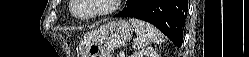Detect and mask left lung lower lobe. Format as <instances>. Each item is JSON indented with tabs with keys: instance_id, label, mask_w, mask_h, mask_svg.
<instances>
[{
	"instance_id": "left-lung-lower-lobe-1",
	"label": "left lung lower lobe",
	"mask_w": 249,
	"mask_h": 57,
	"mask_svg": "<svg viewBox=\"0 0 249 57\" xmlns=\"http://www.w3.org/2000/svg\"><path fill=\"white\" fill-rule=\"evenodd\" d=\"M187 0H127L115 17H134L155 25L176 46L183 42Z\"/></svg>"
}]
</instances>
